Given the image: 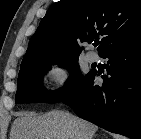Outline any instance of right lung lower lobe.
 Segmentation results:
<instances>
[{"label":"right lung lower lobe","instance_id":"right-lung-lower-lobe-1","mask_svg":"<svg viewBox=\"0 0 141 139\" xmlns=\"http://www.w3.org/2000/svg\"><path fill=\"white\" fill-rule=\"evenodd\" d=\"M103 84H94L91 71L82 85L62 102L81 118L110 132L141 139V38L114 47Z\"/></svg>","mask_w":141,"mask_h":139}]
</instances>
